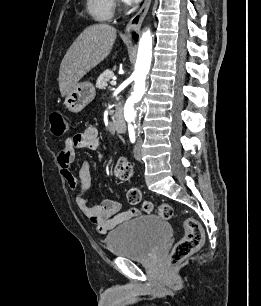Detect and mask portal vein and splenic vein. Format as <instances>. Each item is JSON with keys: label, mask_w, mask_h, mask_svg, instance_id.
Listing matches in <instances>:
<instances>
[{"label": "portal vein and splenic vein", "mask_w": 261, "mask_h": 306, "mask_svg": "<svg viewBox=\"0 0 261 306\" xmlns=\"http://www.w3.org/2000/svg\"><path fill=\"white\" fill-rule=\"evenodd\" d=\"M111 85L115 86L116 85V81H111Z\"/></svg>", "instance_id": "1"}]
</instances>
